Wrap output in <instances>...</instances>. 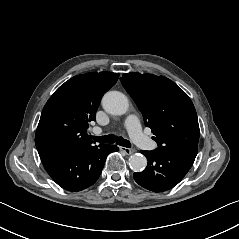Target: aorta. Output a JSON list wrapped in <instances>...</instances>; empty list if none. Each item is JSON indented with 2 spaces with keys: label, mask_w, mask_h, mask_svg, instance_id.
Instances as JSON below:
<instances>
[{
  "label": "aorta",
  "mask_w": 239,
  "mask_h": 239,
  "mask_svg": "<svg viewBox=\"0 0 239 239\" xmlns=\"http://www.w3.org/2000/svg\"><path fill=\"white\" fill-rule=\"evenodd\" d=\"M103 109L112 115H123L129 103L127 97L119 91H108L102 98ZM130 167L134 172H141L147 166V159L142 155L130 156Z\"/></svg>",
  "instance_id": "762f6f07"
}]
</instances>
